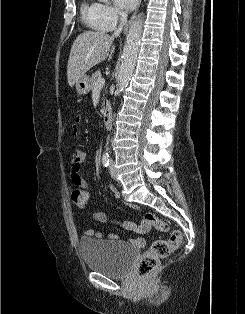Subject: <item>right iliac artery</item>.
Segmentation results:
<instances>
[{
    "label": "right iliac artery",
    "mask_w": 245,
    "mask_h": 314,
    "mask_svg": "<svg viewBox=\"0 0 245 314\" xmlns=\"http://www.w3.org/2000/svg\"><path fill=\"white\" fill-rule=\"evenodd\" d=\"M102 163H103V166L104 167H108L109 166V163H110V158H109V154H104L102 156Z\"/></svg>",
    "instance_id": "82829eb1"
}]
</instances>
